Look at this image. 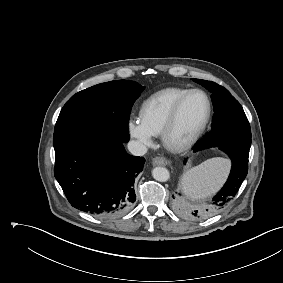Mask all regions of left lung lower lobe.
I'll return each instance as SVG.
<instances>
[{
    "label": "left lung lower lobe",
    "mask_w": 283,
    "mask_h": 283,
    "mask_svg": "<svg viewBox=\"0 0 283 283\" xmlns=\"http://www.w3.org/2000/svg\"><path fill=\"white\" fill-rule=\"evenodd\" d=\"M217 147L229 156L232 162L231 172L223 188L211 199V201L198 210L182 209V212L193 218H206L216 214L231 200L238 192L248 172L249 150L237 146H209L202 141L196 145L194 152ZM186 160H184V164Z\"/></svg>",
    "instance_id": "left-lung-lower-lobe-1"
}]
</instances>
